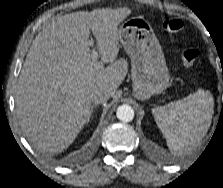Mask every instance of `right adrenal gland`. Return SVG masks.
<instances>
[{
    "mask_svg": "<svg viewBox=\"0 0 223 188\" xmlns=\"http://www.w3.org/2000/svg\"><path fill=\"white\" fill-rule=\"evenodd\" d=\"M96 106H97V105H92V106H91V108H90V112H89V115H88V118H87V122H89L90 117H91V115H92V113H93V109H94Z\"/></svg>",
    "mask_w": 223,
    "mask_h": 188,
    "instance_id": "right-adrenal-gland-1",
    "label": "right adrenal gland"
}]
</instances>
